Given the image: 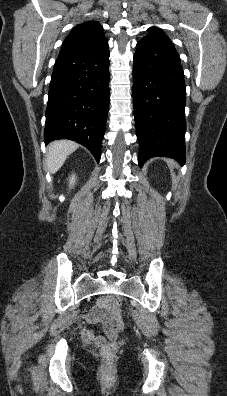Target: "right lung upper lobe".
I'll return each mask as SVG.
<instances>
[{"label":"right lung upper lobe","instance_id":"right-lung-upper-lobe-1","mask_svg":"<svg viewBox=\"0 0 227 396\" xmlns=\"http://www.w3.org/2000/svg\"><path fill=\"white\" fill-rule=\"evenodd\" d=\"M102 26L96 21H87L75 26L62 45V51L94 46L105 41Z\"/></svg>","mask_w":227,"mask_h":396}]
</instances>
